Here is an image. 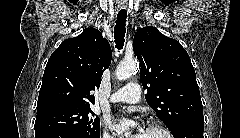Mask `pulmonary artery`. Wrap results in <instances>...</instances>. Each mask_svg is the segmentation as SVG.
Instances as JSON below:
<instances>
[{
  "label": "pulmonary artery",
  "instance_id": "1",
  "mask_svg": "<svg viewBox=\"0 0 240 138\" xmlns=\"http://www.w3.org/2000/svg\"><path fill=\"white\" fill-rule=\"evenodd\" d=\"M141 100L140 87L137 83L130 82L110 96L112 103L136 104Z\"/></svg>",
  "mask_w": 240,
  "mask_h": 138
}]
</instances>
